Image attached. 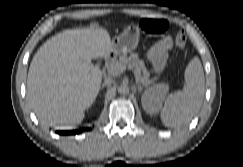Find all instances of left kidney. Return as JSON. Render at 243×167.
Wrapping results in <instances>:
<instances>
[{
    "mask_svg": "<svg viewBox=\"0 0 243 167\" xmlns=\"http://www.w3.org/2000/svg\"><path fill=\"white\" fill-rule=\"evenodd\" d=\"M167 92L168 86L164 84H158L147 89L141 98L143 108L147 112L156 113Z\"/></svg>",
    "mask_w": 243,
    "mask_h": 167,
    "instance_id": "1",
    "label": "left kidney"
}]
</instances>
